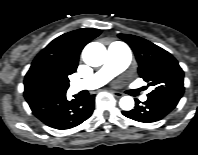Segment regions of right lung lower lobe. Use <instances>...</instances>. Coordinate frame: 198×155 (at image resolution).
<instances>
[{"instance_id": "right-lung-lower-lobe-1", "label": "right lung lower lobe", "mask_w": 198, "mask_h": 155, "mask_svg": "<svg viewBox=\"0 0 198 155\" xmlns=\"http://www.w3.org/2000/svg\"><path fill=\"white\" fill-rule=\"evenodd\" d=\"M68 101L65 93L43 96L28 102L33 114L46 125L69 129L87 120L94 110V95Z\"/></svg>"}]
</instances>
